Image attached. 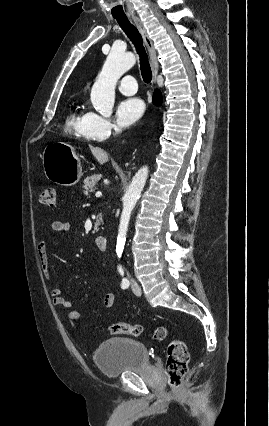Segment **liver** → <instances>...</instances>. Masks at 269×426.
<instances>
[{"label": "liver", "mask_w": 269, "mask_h": 426, "mask_svg": "<svg viewBox=\"0 0 269 426\" xmlns=\"http://www.w3.org/2000/svg\"><path fill=\"white\" fill-rule=\"evenodd\" d=\"M92 155L100 164H104L109 160L108 154L100 147L89 146Z\"/></svg>", "instance_id": "liver-1"}]
</instances>
